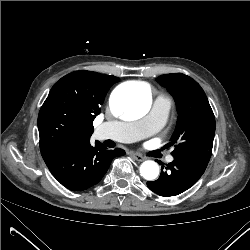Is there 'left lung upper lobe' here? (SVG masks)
<instances>
[{
    "instance_id": "5c2ea615",
    "label": "left lung upper lobe",
    "mask_w": 250,
    "mask_h": 250,
    "mask_svg": "<svg viewBox=\"0 0 250 250\" xmlns=\"http://www.w3.org/2000/svg\"><path fill=\"white\" fill-rule=\"evenodd\" d=\"M157 82L175 99L178 119L167 147L174 145L172 156L196 151H212L215 117L201 86L182 73L159 76Z\"/></svg>"
}]
</instances>
